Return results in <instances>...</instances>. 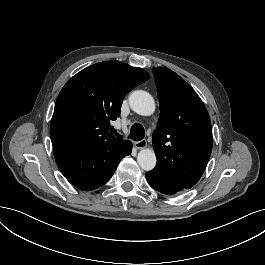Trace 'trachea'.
<instances>
[{
    "label": "trachea",
    "mask_w": 265,
    "mask_h": 265,
    "mask_svg": "<svg viewBox=\"0 0 265 265\" xmlns=\"http://www.w3.org/2000/svg\"><path fill=\"white\" fill-rule=\"evenodd\" d=\"M144 136H145V130L141 124L135 123L131 126L128 138H131L134 141H141L144 138Z\"/></svg>",
    "instance_id": "obj_1"
}]
</instances>
